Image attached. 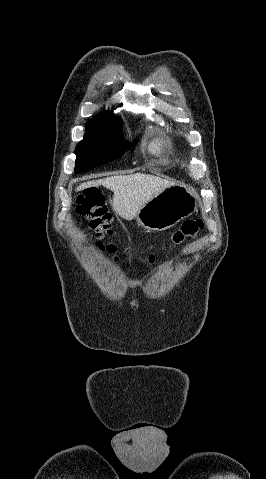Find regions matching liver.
Masks as SVG:
<instances>
[{"label":"liver","mask_w":266,"mask_h":479,"mask_svg":"<svg viewBox=\"0 0 266 479\" xmlns=\"http://www.w3.org/2000/svg\"><path fill=\"white\" fill-rule=\"evenodd\" d=\"M100 185L113 191L111 205L115 214L131 220L150 199L173 186L174 182L150 174L135 173L88 181L80 184L76 191Z\"/></svg>","instance_id":"6515ba94"}]
</instances>
